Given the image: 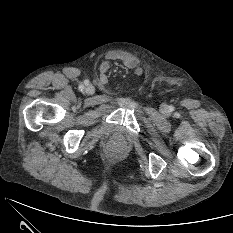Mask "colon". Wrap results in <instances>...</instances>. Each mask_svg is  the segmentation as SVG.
I'll return each mask as SVG.
<instances>
[{"mask_svg": "<svg viewBox=\"0 0 233 233\" xmlns=\"http://www.w3.org/2000/svg\"><path fill=\"white\" fill-rule=\"evenodd\" d=\"M114 145L118 147L120 145V143L117 141L114 143Z\"/></svg>", "mask_w": 233, "mask_h": 233, "instance_id": "colon-1", "label": "colon"}]
</instances>
